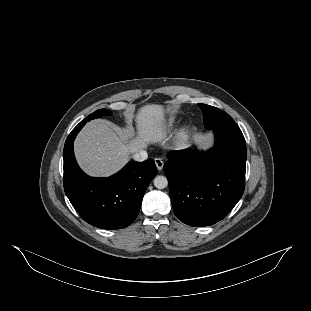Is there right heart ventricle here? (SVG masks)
Returning <instances> with one entry per match:
<instances>
[{
    "instance_id": "obj_1",
    "label": "right heart ventricle",
    "mask_w": 311,
    "mask_h": 311,
    "mask_svg": "<svg viewBox=\"0 0 311 311\" xmlns=\"http://www.w3.org/2000/svg\"><path fill=\"white\" fill-rule=\"evenodd\" d=\"M177 118L170 116L163 121H161L157 125V131L162 135V136H167L169 135L177 126Z\"/></svg>"
}]
</instances>
